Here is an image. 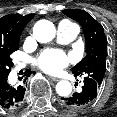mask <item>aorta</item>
I'll list each match as a JSON object with an SVG mask.
<instances>
[{"label":"aorta","mask_w":117,"mask_h":117,"mask_svg":"<svg viewBox=\"0 0 117 117\" xmlns=\"http://www.w3.org/2000/svg\"><path fill=\"white\" fill-rule=\"evenodd\" d=\"M56 34L55 26L48 20H39L33 27L34 38L40 43H47L54 39ZM56 92L62 97H67L72 92V85L69 81L62 80L56 85Z\"/></svg>","instance_id":"obj_1"}]
</instances>
